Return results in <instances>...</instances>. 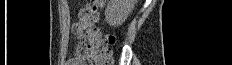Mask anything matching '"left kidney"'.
<instances>
[{
	"mask_svg": "<svg viewBox=\"0 0 232 65\" xmlns=\"http://www.w3.org/2000/svg\"><path fill=\"white\" fill-rule=\"evenodd\" d=\"M135 0H110L105 9L106 22L113 27L120 26L134 9Z\"/></svg>",
	"mask_w": 232,
	"mask_h": 65,
	"instance_id": "left-kidney-1",
	"label": "left kidney"
}]
</instances>
